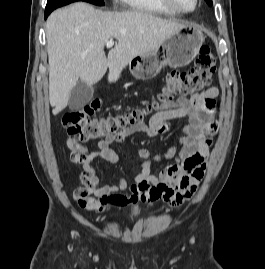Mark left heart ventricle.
I'll use <instances>...</instances> for the list:
<instances>
[{"instance_id":"obj_1","label":"left heart ventricle","mask_w":265,"mask_h":269,"mask_svg":"<svg viewBox=\"0 0 265 269\" xmlns=\"http://www.w3.org/2000/svg\"><path fill=\"white\" fill-rule=\"evenodd\" d=\"M174 2L183 9H192L194 6V0H174Z\"/></svg>"}]
</instances>
